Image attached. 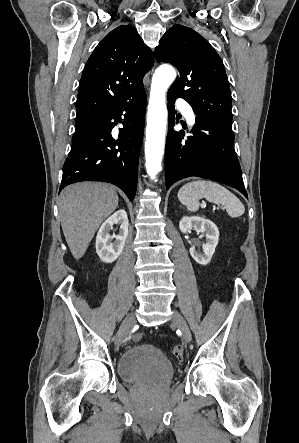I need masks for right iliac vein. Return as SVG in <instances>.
<instances>
[{
	"label": "right iliac vein",
	"instance_id": "63e3f726",
	"mask_svg": "<svg viewBox=\"0 0 299 443\" xmlns=\"http://www.w3.org/2000/svg\"><path fill=\"white\" fill-rule=\"evenodd\" d=\"M136 323V316L134 313H130L127 315V317L124 319V321L121 324L119 333L116 337L115 344L117 347L121 346L127 337V333L129 329H131Z\"/></svg>",
	"mask_w": 299,
	"mask_h": 443
}]
</instances>
